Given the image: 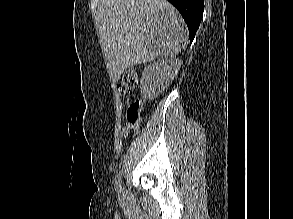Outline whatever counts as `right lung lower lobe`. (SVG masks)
Returning a JSON list of instances; mask_svg holds the SVG:
<instances>
[{
    "instance_id": "obj_1",
    "label": "right lung lower lobe",
    "mask_w": 293,
    "mask_h": 219,
    "mask_svg": "<svg viewBox=\"0 0 293 219\" xmlns=\"http://www.w3.org/2000/svg\"><path fill=\"white\" fill-rule=\"evenodd\" d=\"M181 13L188 29L189 39L192 42L203 16L204 0H168Z\"/></svg>"
}]
</instances>
